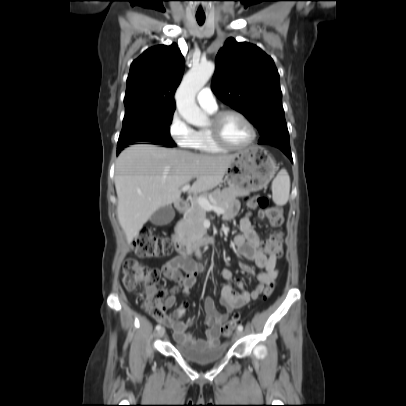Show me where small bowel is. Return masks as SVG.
I'll list each match as a JSON object with an SVG mask.
<instances>
[{
	"label": "small bowel",
	"instance_id": "1",
	"mask_svg": "<svg viewBox=\"0 0 406 406\" xmlns=\"http://www.w3.org/2000/svg\"><path fill=\"white\" fill-rule=\"evenodd\" d=\"M237 210V203H232L224 214V220L231 221L236 216ZM239 231V234L233 239L237 253L261 269V272L256 276L257 284L255 288L253 290H247L244 281L239 278L235 282L236 289H233L231 286L233 274L230 270L223 269L222 276L226 280V284L221 290L220 303L226 312L220 313L216 308L214 300L212 298H206L204 310L206 313L205 323L207 329L204 331V338L197 339L187 332L188 326L193 323V318L188 317L186 321L181 319L189 303L187 301L181 303L172 314L164 315L161 320L164 324L173 329L174 338L177 342L197 347L218 344L221 327L229 319L234 310L258 299L264 291L265 286L273 284L278 278L279 272L276 267V255L262 249L261 239L255 230V226L251 222V213H246L240 219ZM195 254L197 260H191L186 256H176L161 268L162 275L174 281L176 284L171 289V294L163 305L164 309L174 306L176 293H189L198 275L203 271L204 263L201 260V253L197 250ZM241 269L247 274L254 275V270L249 265L241 264Z\"/></svg>",
	"mask_w": 406,
	"mask_h": 406
}]
</instances>
